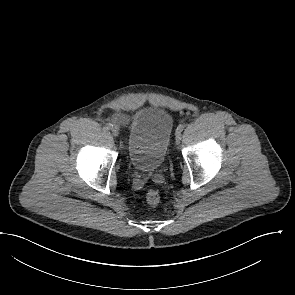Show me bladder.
<instances>
[{"label":"bladder","mask_w":295,"mask_h":295,"mask_svg":"<svg viewBox=\"0 0 295 295\" xmlns=\"http://www.w3.org/2000/svg\"><path fill=\"white\" fill-rule=\"evenodd\" d=\"M172 130V117L164 108L140 109L128 131L127 152L131 164L141 171L157 170L166 158Z\"/></svg>","instance_id":"1"}]
</instances>
